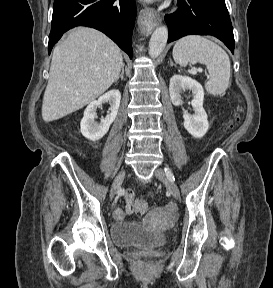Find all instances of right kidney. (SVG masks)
<instances>
[{"label": "right kidney", "instance_id": "ca27d5eb", "mask_svg": "<svg viewBox=\"0 0 273 288\" xmlns=\"http://www.w3.org/2000/svg\"><path fill=\"white\" fill-rule=\"evenodd\" d=\"M120 100L121 94L119 90L113 89L102 95L97 101H92L85 109L80 123L82 135L90 141L100 140L114 122L118 114ZM104 103L110 104L109 112L105 118L101 119L100 123H97L95 121L96 110Z\"/></svg>", "mask_w": 273, "mask_h": 288}]
</instances>
